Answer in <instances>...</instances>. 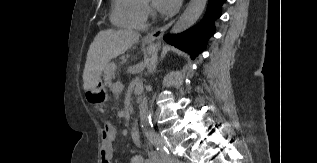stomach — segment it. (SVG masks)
<instances>
[{
	"mask_svg": "<svg viewBox=\"0 0 317 163\" xmlns=\"http://www.w3.org/2000/svg\"><path fill=\"white\" fill-rule=\"evenodd\" d=\"M86 99L88 103L95 106H102L108 99L107 91L105 85L100 80L94 88L87 91Z\"/></svg>",
	"mask_w": 317,
	"mask_h": 163,
	"instance_id": "0dacf381",
	"label": "stomach"
}]
</instances>
